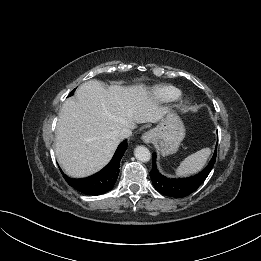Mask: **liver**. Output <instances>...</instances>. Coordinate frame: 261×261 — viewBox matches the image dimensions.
I'll list each match as a JSON object with an SVG mask.
<instances>
[{
	"mask_svg": "<svg viewBox=\"0 0 261 261\" xmlns=\"http://www.w3.org/2000/svg\"><path fill=\"white\" fill-rule=\"evenodd\" d=\"M167 112L144 85L105 89L97 80L81 84L75 98L67 99L56 127L55 154L72 177H86L112 158L124 127L157 123Z\"/></svg>",
	"mask_w": 261,
	"mask_h": 261,
	"instance_id": "obj_1",
	"label": "liver"
}]
</instances>
